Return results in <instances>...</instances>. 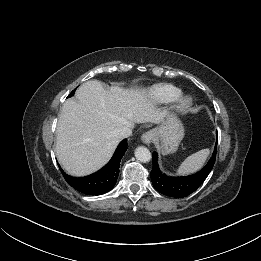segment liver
Segmentation results:
<instances>
[{
	"label": "liver",
	"mask_w": 261,
	"mask_h": 261,
	"mask_svg": "<svg viewBox=\"0 0 261 261\" xmlns=\"http://www.w3.org/2000/svg\"><path fill=\"white\" fill-rule=\"evenodd\" d=\"M75 98L62 106L55 143L58 161L73 176L103 167L121 141L122 127L161 123L166 113L156 108L143 89L106 90L97 80L83 83Z\"/></svg>",
	"instance_id": "liver-1"
}]
</instances>
